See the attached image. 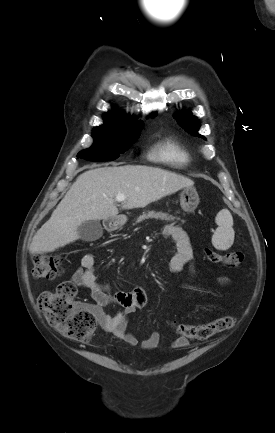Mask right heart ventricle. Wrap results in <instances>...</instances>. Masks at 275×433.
Here are the masks:
<instances>
[{"label":"right heart ventricle","instance_id":"obj_1","mask_svg":"<svg viewBox=\"0 0 275 433\" xmlns=\"http://www.w3.org/2000/svg\"><path fill=\"white\" fill-rule=\"evenodd\" d=\"M152 156L162 162L176 167H184L189 162L186 150L175 140L168 139L160 143Z\"/></svg>","mask_w":275,"mask_h":433}]
</instances>
